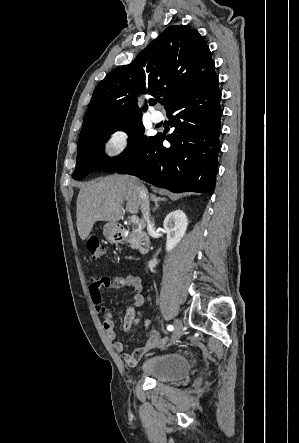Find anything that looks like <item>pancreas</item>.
<instances>
[{
	"label": "pancreas",
	"mask_w": 299,
	"mask_h": 443,
	"mask_svg": "<svg viewBox=\"0 0 299 443\" xmlns=\"http://www.w3.org/2000/svg\"><path fill=\"white\" fill-rule=\"evenodd\" d=\"M138 232L136 230H133L130 234V244L132 248H138L139 246V238H138Z\"/></svg>",
	"instance_id": "cf45deb5"
}]
</instances>
